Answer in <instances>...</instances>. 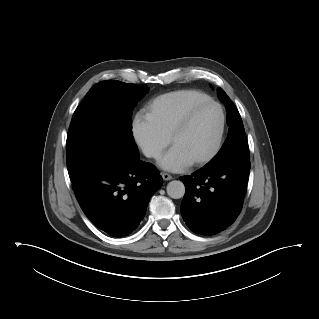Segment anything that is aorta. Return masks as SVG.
<instances>
[{
	"instance_id": "obj_1",
	"label": "aorta",
	"mask_w": 319,
	"mask_h": 319,
	"mask_svg": "<svg viewBox=\"0 0 319 319\" xmlns=\"http://www.w3.org/2000/svg\"><path fill=\"white\" fill-rule=\"evenodd\" d=\"M167 194L173 199L182 198L185 194V186L181 181H171L167 185Z\"/></svg>"
}]
</instances>
